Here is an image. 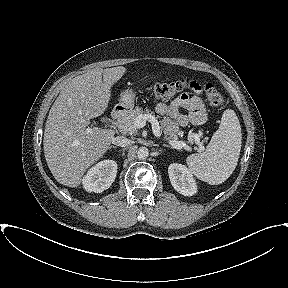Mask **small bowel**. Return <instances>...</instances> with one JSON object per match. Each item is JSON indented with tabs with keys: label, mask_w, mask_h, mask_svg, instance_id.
<instances>
[{
	"label": "small bowel",
	"mask_w": 288,
	"mask_h": 288,
	"mask_svg": "<svg viewBox=\"0 0 288 288\" xmlns=\"http://www.w3.org/2000/svg\"><path fill=\"white\" fill-rule=\"evenodd\" d=\"M192 89L193 91L183 93L169 104L159 103L156 106V112L169 116L181 126H186L188 123L194 125L203 124L206 120V111L199 97L201 86L196 82ZM182 109L188 110V115L183 114L181 112Z\"/></svg>",
	"instance_id": "small-bowel-1"
}]
</instances>
